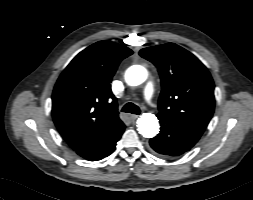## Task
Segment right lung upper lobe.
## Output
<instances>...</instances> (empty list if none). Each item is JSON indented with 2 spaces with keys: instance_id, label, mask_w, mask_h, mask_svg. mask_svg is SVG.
<instances>
[{
  "instance_id": "1",
  "label": "right lung upper lobe",
  "mask_w": 253,
  "mask_h": 200,
  "mask_svg": "<svg viewBox=\"0 0 253 200\" xmlns=\"http://www.w3.org/2000/svg\"><path fill=\"white\" fill-rule=\"evenodd\" d=\"M132 53L123 45L99 41L80 52L60 75L52 95V115L75 151L123 125L110 83L120 61Z\"/></svg>"
}]
</instances>
